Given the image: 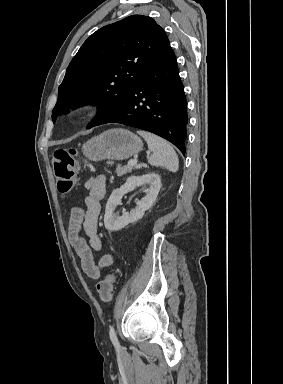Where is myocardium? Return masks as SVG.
Masks as SVG:
<instances>
[{"instance_id": "obj_1", "label": "myocardium", "mask_w": 283, "mask_h": 384, "mask_svg": "<svg viewBox=\"0 0 283 384\" xmlns=\"http://www.w3.org/2000/svg\"><path fill=\"white\" fill-rule=\"evenodd\" d=\"M88 113V108L86 105L79 104L76 105L70 112L69 118L74 121L83 119Z\"/></svg>"}]
</instances>
